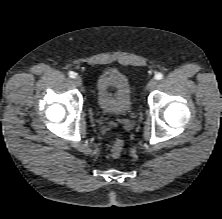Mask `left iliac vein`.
Returning a JSON list of instances; mask_svg holds the SVG:
<instances>
[{
    "label": "left iliac vein",
    "instance_id": "obj_1",
    "mask_svg": "<svg viewBox=\"0 0 222 219\" xmlns=\"http://www.w3.org/2000/svg\"><path fill=\"white\" fill-rule=\"evenodd\" d=\"M156 85H157V80H155V79L150 80L147 84V90L154 89L156 87Z\"/></svg>",
    "mask_w": 222,
    "mask_h": 219
}]
</instances>
